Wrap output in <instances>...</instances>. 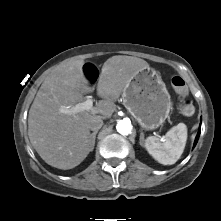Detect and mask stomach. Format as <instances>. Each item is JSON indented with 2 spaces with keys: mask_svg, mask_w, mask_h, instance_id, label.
I'll list each match as a JSON object with an SVG mask.
<instances>
[{
  "mask_svg": "<svg viewBox=\"0 0 221 221\" xmlns=\"http://www.w3.org/2000/svg\"><path fill=\"white\" fill-rule=\"evenodd\" d=\"M123 105L145 130L161 126L172 109L170 94L152 68L139 71L125 86Z\"/></svg>",
  "mask_w": 221,
  "mask_h": 221,
  "instance_id": "1",
  "label": "stomach"
}]
</instances>
